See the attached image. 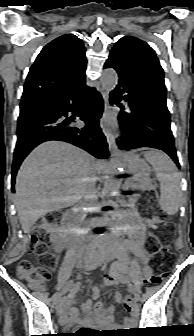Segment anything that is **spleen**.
<instances>
[{
    "label": "spleen",
    "mask_w": 194,
    "mask_h": 336,
    "mask_svg": "<svg viewBox=\"0 0 194 336\" xmlns=\"http://www.w3.org/2000/svg\"><path fill=\"white\" fill-rule=\"evenodd\" d=\"M145 159L153 166L160 182L159 204L167 214L177 213L180 204V175L171 159L163 152L149 150L144 152Z\"/></svg>",
    "instance_id": "spleen-1"
}]
</instances>
